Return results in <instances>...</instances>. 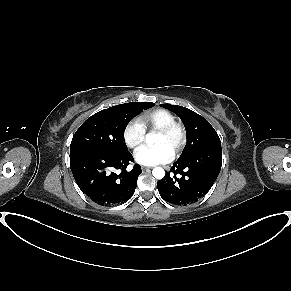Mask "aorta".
I'll list each match as a JSON object with an SVG mask.
<instances>
[{"label": "aorta", "mask_w": 291, "mask_h": 291, "mask_svg": "<svg viewBox=\"0 0 291 291\" xmlns=\"http://www.w3.org/2000/svg\"><path fill=\"white\" fill-rule=\"evenodd\" d=\"M155 140H156V136L154 134H147L146 135V142L148 144H153L155 143ZM152 174L153 176L156 178V179H162L164 176H165V171L163 168L161 167H155L152 171Z\"/></svg>", "instance_id": "aorta-1"}]
</instances>
